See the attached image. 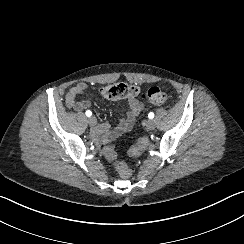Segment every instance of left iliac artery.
<instances>
[{
	"mask_svg": "<svg viewBox=\"0 0 244 244\" xmlns=\"http://www.w3.org/2000/svg\"><path fill=\"white\" fill-rule=\"evenodd\" d=\"M148 117H149L150 119H153V118H154V113H153V112H150V113L148 114Z\"/></svg>",
	"mask_w": 244,
	"mask_h": 244,
	"instance_id": "obj_1",
	"label": "left iliac artery"
}]
</instances>
